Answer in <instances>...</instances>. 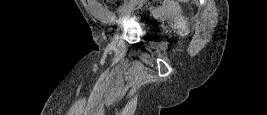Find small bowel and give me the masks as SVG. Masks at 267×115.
<instances>
[{"mask_svg": "<svg viewBox=\"0 0 267 115\" xmlns=\"http://www.w3.org/2000/svg\"><path fill=\"white\" fill-rule=\"evenodd\" d=\"M89 8L95 16L100 19L110 20L112 19V14L107 11L98 1L96 0H87L86 1ZM175 7L172 3L167 2L162 7L157 9V12H164L167 10H173Z\"/></svg>", "mask_w": 267, "mask_h": 115, "instance_id": "obj_1", "label": "small bowel"}]
</instances>
